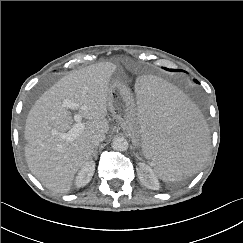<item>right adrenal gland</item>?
<instances>
[{"label": "right adrenal gland", "mask_w": 243, "mask_h": 243, "mask_svg": "<svg viewBox=\"0 0 243 243\" xmlns=\"http://www.w3.org/2000/svg\"><path fill=\"white\" fill-rule=\"evenodd\" d=\"M97 149H98V146L95 147L93 155H92L95 159L97 158Z\"/></svg>", "instance_id": "2a0ac1e0"}]
</instances>
